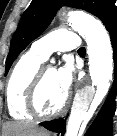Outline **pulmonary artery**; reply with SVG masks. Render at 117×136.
Returning a JSON list of instances; mask_svg holds the SVG:
<instances>
[{
	"label": "pulmonary artery",
	"mask_w": 117,
	"mask_h": 136,
	"mask_svg": "<svg viewBox=\"0 0 117 136\" xmlns=\"http://www.w3.org/2000/svg\"><path fill=\"white\" fill-rule=\"evenodd\" d=\"M80 39L77 33L69 29H58L33 42L31 50L42 59L53 52L79 49Z\"/></svg>",
	"instance_id": "e3ab8cb5"
}]
</instances>
